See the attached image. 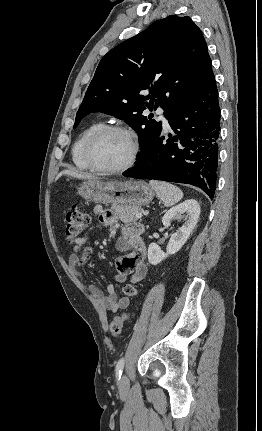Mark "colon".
I'll return each mask as SVG.
<instances>
[{
  "label": "colon",
  "mask_w": 262,
  "mask_h": 431,
  "mask_svg": "<svg viewBox=\"0 0 262 431\" xmlns=\"http://www.w3.org/2000/svg\"><path fill=\"white\" fill-rule=\"evenodd\" d=\"M90 215L78 208L72 207L66 214L65 220V236L69 241H74L90 224ZM126 296L135 297L137 295L136 289L126 284L123 287ZM129 319L128 314H122L115 317L109 323V332L111 336L118 337L121 334L124 323Z\"/></svg>",
  "instance_id": "5ec220e1"
}]
</instances>
